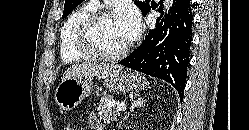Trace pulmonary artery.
<instances>
[{
	"instance_id": "e3ab8cb5",
	"label": "pulmonary artery",
	"mask_w": 249,
	"mask_h": 130,
	"mask_svg": "<svg viewBox=\"0 0 249 130\" xmlns=\"http://www.w3.org/2000/svg\"><path fill=\"white\" fill-rule=\"evenodd\" d=\"M92 2H93L94 4H96V5L99 4L98 0H92Z\"/></svg>"
}]
</instances>
